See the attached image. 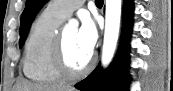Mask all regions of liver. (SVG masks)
<instances>
[{"label": "liver", "instance_id": "obj_1", "mask_svg": "<svg viewBox=\"0 0 173 91\" xmlns=\"http://www.w3.org/2000/svg\"><path fill=\"white\" fill-rule=\"evenodd\" d=\"M13 89V91H75L72 87L60 85L33 84L25 80L17 82Z\"/></svg>", "mask_w": 173, "mask_h": 91}]
</instances>
